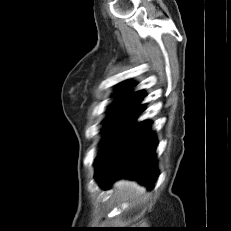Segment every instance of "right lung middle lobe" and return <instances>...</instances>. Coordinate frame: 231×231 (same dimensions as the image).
Instances as JSON below:
<instances>
[{
  "label": "right lung middle lobe",
  "instance_id": "right-lung-middle-lobe-1",
  "mask_svg": "<svg viewBox=\"0 0 231 231\" xmlns=\"http://www.w3.org/2000/svg\"><path fill=\"white\" fill-rule=\"evenodd\" d=\"M143 109L144 105H140L139 101L130 99L116 100L110 106V114L104 120L105 126L103 130H108V132L101 142L100 150L122 130L133 123L142 113Z\"/></svg>",
  "mask_w": 231,
  "mask_h": 231
}]
</instances>
